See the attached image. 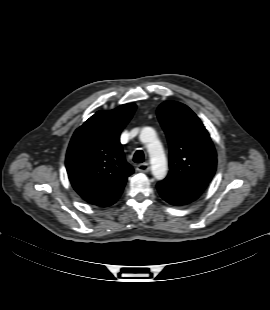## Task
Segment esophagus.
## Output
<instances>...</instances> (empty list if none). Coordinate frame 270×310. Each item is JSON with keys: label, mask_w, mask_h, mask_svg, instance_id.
<instances>
[{"label": "esophagus", "mask_w": 270, "mask_h": 310, "mask_svg": "<svg viewBox=\"0 0 270 310\" xmlns=\"http://www.w3.org/2000/svg\"><path fill=\"white\" fill-rule=\"evenodd\" d=\"M139 172L146 173L150 170V166L148 163L139 164L136 168Z\"/></svg>", "instance_id": "esophagus-1"}]
</instances>
